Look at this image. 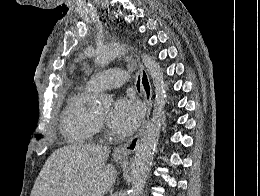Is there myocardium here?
<instances>
[{"instance_id": "f54148a6", "label": "myocardium", "mask_w": 260, "mask_h": 196, "mask_svg": "<svg viewBox=\"0 0 260 196\" xmlns=\"http://www.w3.org/2000/svg\"><path fill=\"white\" fill-rule=\"evenodd\" d=\"M94 119L97 126L103 127L105 126L104 121L98 118V116L94 113Z\"/></svg>"}]
</instances>
